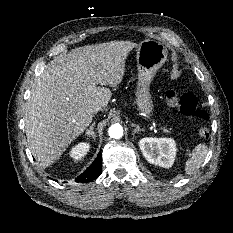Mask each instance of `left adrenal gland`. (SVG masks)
Wrapping results in <instances>:
<instances>
[{"mask_svg": "<svg viewBox=\"0 0 233 233\" xmlns=\"http://www.w3.org/2000/svg\"><path fill=\"white\" fill-rule=\"evenodd\" d=\"M131 126H132V127H135V129H134L133 132H132V135H133V136L135 135V133H138V132H140V131H143V129H141V128L139 127V125H137V124H131Z\"/></svg>", "mask_w": 233, "mask_h": 233, "instance_id": "left-adrenal-gland-1", "label": "left adrenal gland"}]
</instances>
